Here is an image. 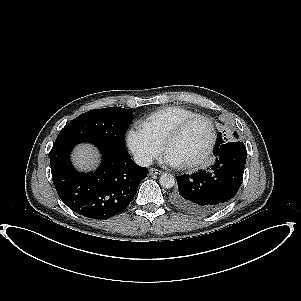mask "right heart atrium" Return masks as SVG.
<instances>
[{"label":"right heart atrium","mask_w":301,"mask_h":301,"mask_svg":"<svg viewBox=\"0 0 301 301\" xmlns=\"http://www.w3.org/2000/svg\"><path fill=\"white\" fill-rule=\"evenodd\" d=\"M129 150L136 159L145 165H149L162 151V144L143 128H131L126 135Z\"/></svg>","instance_id":"right-heart-atrium-1"}]
</instances>
